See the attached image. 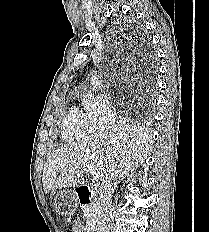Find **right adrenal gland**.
Segmentation results:
<instances>
[{"instance_id": "1", "label": "right adrenal gland", "mask_w": 209, "mask_h": 232, "mask_svg": "<svg viewBox=\"0 0 209 232\" xmlns=\"http://www.w3.org/2000/svg\"><path fill=\"white\" fill-rule=\"evenodd\" d=\"M129 177H130V175L126 174L123 178L116 180L114 183L113 191L117 188V185L120 183V181H122L123 179H126V178L129 179Z\"/></svg>"}]
</instances>
